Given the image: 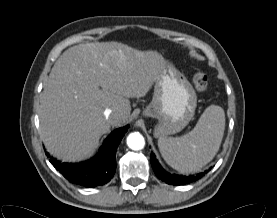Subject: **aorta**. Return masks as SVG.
<instances>
[{"label":"aorta","instance_id":"obj_1","mask_svg":"<svg viewBox=\"0 0 277 218\" xmlns=\"http://www.w3.org/2000/svg\"><path fill=\"white\" fill-rule=\"evenodd\" d=\"M127 145L132 150H141L145 146L144 137L139 132L130 133L127 137Z\"/></svg>","mask_w":277,"mask_h":218}]
</instances>
